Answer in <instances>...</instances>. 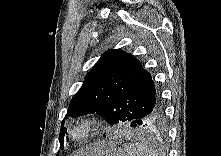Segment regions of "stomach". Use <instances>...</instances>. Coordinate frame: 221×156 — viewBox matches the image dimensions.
Wrapping results in <instances>:
<instances>
[{
    "instance_id": "stomach-1",
    "label": "stomach",
    "mask_w": 221,
    "mask_h": 156,
    "mask_svg": "<svg viewBox=\"0 0 221 156\" xmlns=\"http://www.w3.org/2000/svg\"><path fill=\"white\" fill-rule=\"evenodd\" d=\"M92 156H126L125 152L120 148L105 147L96 151Z\"/></svg>"
}]
</instances>
